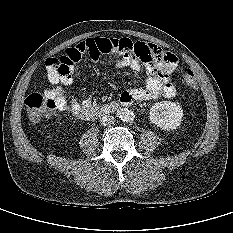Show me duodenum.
I'll return each mask as SVG.
<instances>
[{
    "instance_id": "1",
    "label": "duodenum",
    "mask_w": 233,
    "mask_h": 233,
    "mask_svg": "<svg viewBox=\"0 0 233 233\" xmlns=\"http://www.w3.org/2000/svg\"><path fill=\"white\" fill-rule=\"evenodd\" d=\"M128 104L130 103L123 102L120 100V101H113L103 105L91 106L85 111V116L86 118H94L102 114L108 113L110 111H113L119 108L120 106L128 105Z\"/></svg>"
}]
</instances>
